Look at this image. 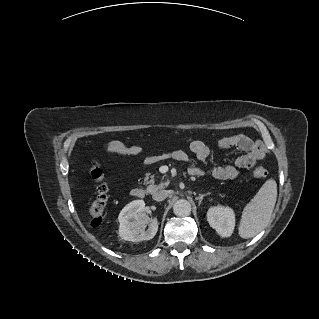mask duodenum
<instances>
[{
  "mask_svg": "<svg viewBox=\"0 0 319 319\" xmlns=\"http://www.w3.org/2000/svg\"><path fill=\"white\" fill-rule=\"evenodd\" d=\"M193 176H198L195 173H190ZM131 195L137 199H142L145 197V189L143 187H135L131 191Z\"/></svg>",
  "mask_w": 319,
  "mask_h": 319,
  "instance_id": "duodenum-1",
  "label": "duodenum"
}]
</instances>
